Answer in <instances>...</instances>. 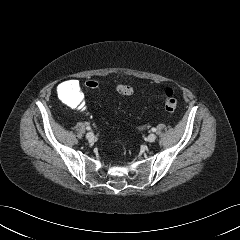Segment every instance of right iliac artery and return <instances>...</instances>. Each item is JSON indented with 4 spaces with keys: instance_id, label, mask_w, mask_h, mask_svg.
<instances>
[{
    "instance_id": "82829eb1",
    "label": "right iliac artery",
    "mask_w": 240,
    "mask_h": 240,
    "mask_svg": "<svg viewBox=\"0 0 240 240\" xmlns=\"http://www.w3.org/2000/svg\"><path fill=\"white\" fill-rule=\"evenodd\" d=\"M86 129H87V130H91V127H90V126H87Z\"/></svg>"
}]
</instances>
